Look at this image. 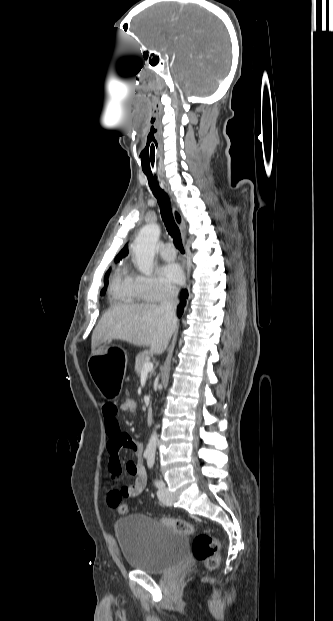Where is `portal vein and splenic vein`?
I'll use <instances>...</instances> for the list:
<instances>
[{
  "label": "portal vein and splenic vein",
  "instance_id": "obj_1",
  "mask_svg": "<svg viewBox=\"0 0 333 621\" xmlns=\"http://www.w3.org/2000/svg\"><path fill=\"white\" fill-rule=\"evenodd\" d=\"M153 369V363L150 361H147L146 363H144L143 365V369L141 373H148Z\"/></svg>",
  "mask_w": 333,
  "mask_h": 621
}]
</instances>
